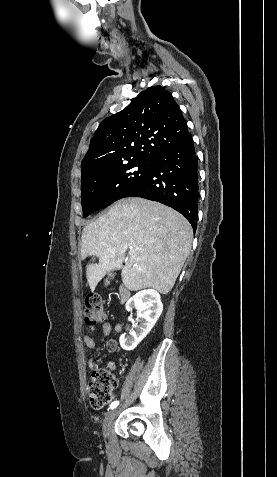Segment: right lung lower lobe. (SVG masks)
<instances>
[{
    "mask_svg": "<svg viewBox=\"0 0 277 477\" xmlns=\"http://www.w3.org/2000/svg\"><path fill=\"white\" fill-rule=\"evenodd\" d=\"M144 179L124 197L158 201L180 212L192 225L198 219V159L191 134L157 154Z\"/></svg>",
    "mask_w": 277,
    "mask_h": 477,
    "instance_id": "98d812e1",
    "label": "right lung lower lobe"
}]
</instances>
